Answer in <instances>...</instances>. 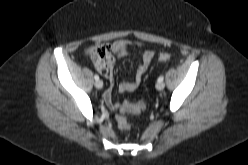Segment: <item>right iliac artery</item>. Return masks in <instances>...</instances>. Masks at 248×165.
<instances>
[{
  "label": "right iliac artery",
  "instance_id": "1",
  "mask_svg": "<svg viewBox=\"0 0 248 165\" xmlns=\"http://www.w3.org/2000/svg\"><path fill=\"white\" fill-rule=\"evenodd\" d=\"M94 78H95V80H99V76L98 75H95Z\"/></svg>",
  "mask_w": 248,
  "mask_h": 165
}]
</instances>
